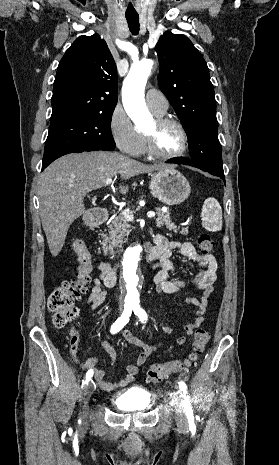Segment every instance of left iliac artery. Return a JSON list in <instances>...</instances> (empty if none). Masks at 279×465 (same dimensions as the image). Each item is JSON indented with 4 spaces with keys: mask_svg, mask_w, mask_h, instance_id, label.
Wrapping results in <instances>:
<instances>
[{
    "mask_svg": "<svg viewBox=\"0 0 279 465\" xmlns=\"http://www.w3.org/2000/svg\"><path fill=\"white\" fill-rule=\"evenodd\" d=\"M133 311L140 318L141 321L147 320V314L140 307L139 304L133 305ZM179 387H180V390L182 391V396L184 398V409H185L188 421L191 422L194 420V417H193V411H192V408L190 406L188 396H187V386L183 381H181L179 382Z\"/></svg>",
    "mask_w": 279,
    "mask_h": 465,
    "instance_id": "1",
    "label": "left iliac artery"
}]
</instances>
